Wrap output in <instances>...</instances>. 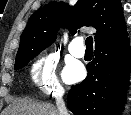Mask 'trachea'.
I'll return each mask as SVG.
<instances>
[{
	"label": "trachea",
	"instance_id": "trachea-1",
	"mask_svg": "<svg viewBox=\"0 0 131 115\" xmlns=\"http://www.w3.org/2000/svg\"><path fill=\"white\" fill-rule=\"evenodd\" d=\"M85 44L87 49H93V38L91 36L87 37Z\"/></svg>",
	"mask_w": 131,
	"mask_h": 115
}]
</instances>
